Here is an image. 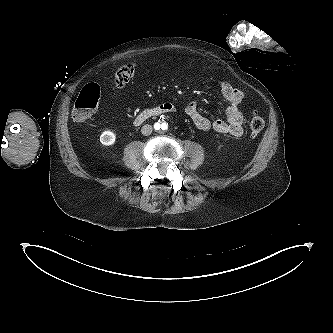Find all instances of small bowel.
<instances>
[{
  "instance_id": "c3829d8e",
  "label": "small bowel",
  "mask_w": 333,
  "mask_h": 333,
  "mask_svg": "<svg viewBox=\"0 0 333 333\" xmlns=\"http://www.w3.org/2000/svg\"><path fill=\"white\" fill-rule=\"evenodd\" d=\"M222 97L227 103L225 118L211 121L201 114L195 102H190L185 107V112L194 125L201 131L214 130L221 134H229L233 137H240L243 134V114L239 105L244 98V92L233 87L230 83L222 81L219 84Z\"/></svg>"
}]
</instances>
